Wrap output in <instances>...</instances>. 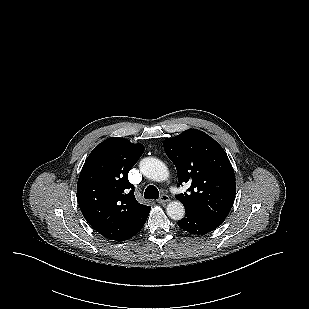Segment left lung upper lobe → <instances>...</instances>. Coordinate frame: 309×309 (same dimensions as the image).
Returning <instances> with one entry per match:
<instances>
[{
	"label": "left lung upper lobe",
	"instance_id": "1",
	"mask_svg": "<svg viewBox=\"0 0 309 309\" xmlns=\"http://www.w3.org/2000/svg\"><path fill=\"white\" fill-rule=\"evenodd\" d=\"M164 150L176 166L178 185L191 183L188 192L175 196L186 212L222 223L236 193L234 171L223 148L206 133L189 129L166 138Z\"/></svg>",
	"mask_w": 309,
	"mask_h": 309
}]
</instances>
